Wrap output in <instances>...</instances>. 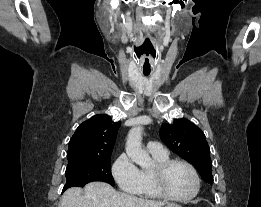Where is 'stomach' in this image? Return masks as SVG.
<instances>
[{"mask_svg": "<svg viewBox=\"0 0 261 207\" xmlns=\"http://www.w3.org/2000/svg\"><path fill=\"white\" fill-rule=\"evenodd\" d=\"M165 207H182V206H180V205H178V204H175V203H167V204L165 205Z\"/></svg>", "mask_w": 261, "mask_h": 207, "instance_id": "obj_1", "label": "stomach"}]
</instances>
